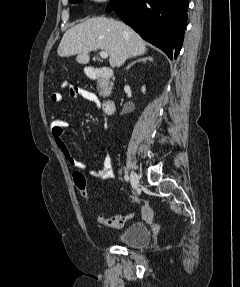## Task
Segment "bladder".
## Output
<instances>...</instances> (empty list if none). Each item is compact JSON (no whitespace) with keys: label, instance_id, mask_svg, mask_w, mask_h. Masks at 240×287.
<instances>
[{"label":"bladder","instance_id":"obj_1","mask_svg":"<svg viewBox=\"0 0 240 287\" xmlns=\"http://www.w3.org/2000/svg\"><path fill=\"white\" fill-rule=\"evenodd\" d=\"M116 241L122 245L139 248L149 244L150 233L144 224L133 223L116 236Z\"/></svg>","mask_w":240,"mask_h":287}]
</instances>
